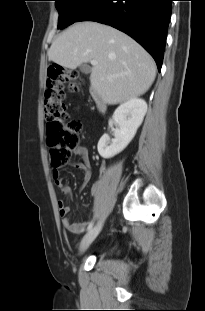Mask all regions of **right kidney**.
Here are the masks:
<instances>
[{
  "mask_svg": "<svg viewBox=\"0 0 205 311\" xmlns=\"http://www.w3.org/2000/svg\"><path fill=\"white\" fill-rule=\"evenodd\" d=\"M147 112V104L143 99L132 98L122 103L114 112L113 119L109 122L119 128L114 129V139L104 134L98 142V152L103 158H111L124 150L134 138Z\"/></svg>",
  "mask_w": 205,
  "mask_h": 311,
  "instance_id": "right-kidney-1",
  "label": "right kidney"
}]
</instances>
